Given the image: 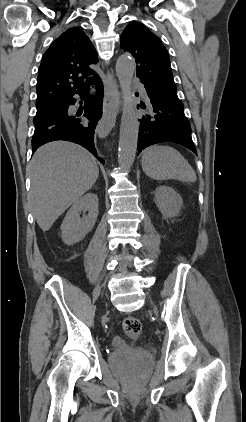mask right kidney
Returning <instances> with one entry per match:
<instances>
[{"mask_svg": "<svg viewBox=\"0 0 246 422\" xmlns=\"http://www.w3.org/2000/svg\"><path fill=\"white\" fill-rule=\"evenodd\" d=\"M81 211H87V216L81 218ZM98 213V197L96 194L87 193L79 198L68 210L61 224L63 242L73 245L85 238L94 227Z\"/></svg>", "mask_w": 246, "mask_h": 422, "instance_id": "ca27d5eb", "label": "right kidney"}]
</instances>
